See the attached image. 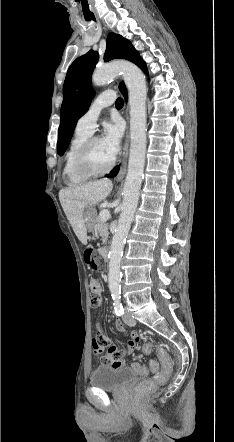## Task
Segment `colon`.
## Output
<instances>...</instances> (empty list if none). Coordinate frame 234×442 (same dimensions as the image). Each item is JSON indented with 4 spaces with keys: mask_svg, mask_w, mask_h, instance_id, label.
Here are the masks:
<instances>
[{
    "mask_svg": "<svg viewBox=\"0 0 234 442\" xmlns=\"http://www.w3.org/2000/svg\"><path fill=\"white\" fill-rule=\"evenodd\" d=\"M84 258L86 263L94 270H104L106 263L100 257V255L92 248H87L84 252ZM92 297H91V306L95 309H98L103 304V296L102 293L98 290L96 280H92L90 283ZM95 338V337H94ZM95 343V341L93 340ZM97 344V343H95ZM156 352L160 358L162 363L161 372L157 373L154 377H151L149 380H139L138 381V392L145 393L150 391L151 389H162L165 385L166 379L170 376L172 372V360L168 353L160 346H155ZM142 350L145 355H150L153 352L154 347L151 342L146 341L143 344ZM123 353L118 352L113 361V365L117 367L123 366ZM131 370L134 373H139L140 375H148L149 373H156L159 370V363L155 360H150L147 365H145L144 361L135 359L131 363ZM173 389V388H172Z\"/></svg>",
    "mask_w": 234,
    "mask_h": 442,
    "instance_id": "1",
    "label": "colon"
}]
</instances>
